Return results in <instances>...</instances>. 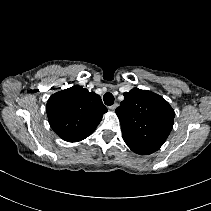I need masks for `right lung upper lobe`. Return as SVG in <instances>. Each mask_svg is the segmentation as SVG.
Masks as SVG:
<instances>
[{
	"mask_svg": "<svg viewBox=\"0 0 211 211\" xmlns=\"http://www.w3.org/2000/svg\"><path fill=\"white\" fill-rule=\"evenodd\" d=\"M46 111L56 134L65 141L78 142L93 133L107 108L96 93L73 86L50 96Z\"/></svg>",
	"mask_w": 211,
	"mask_h": 211,
	"instance_id": "cb5924a9",
	"label": "right lung upper lobe"
}]
</instances>
